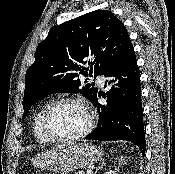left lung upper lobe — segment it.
Instances as JSON below:
<instances>
[{"label":"left lung upper lobe","instance_id":"obj_1","mask_svg":"<svg viewBox=\"0 0 175 174\" xmlns=\"http://www.w3.org/2000/svg\"><path fill=\"white\" fill-rule=\"evenodd\" d=\"M130 43L124 24L107 10L54 26L36 49L35 62L26 72L23 118L35 102L52 93L80 92L92 101L98 90L87 80L82 86L79 73L104 75Z\"/></svg>","mask_w":175,"mask_h":174}]
</instances>
